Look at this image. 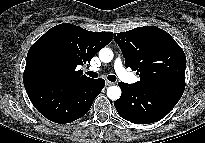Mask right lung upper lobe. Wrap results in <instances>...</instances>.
I'll return each mask as SVG.
<instances>
[{"label":"right lung upper lobe","instance_id":"obj_1","mask_svg":"<svg viewBox=\"0 0 205 143\" xmlns=\"http://www.w3.org/2000/svg\"><path fill=\"white\" fill-rule=\"evenodd\" d=\"M113 39L111 32H92L64 23L49 29L29 49L24 79L56 77L67 81L89 79L76 70Z\"/></svg>","mask_w":205,"mask_h":143}]
</instances>
